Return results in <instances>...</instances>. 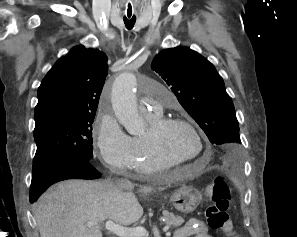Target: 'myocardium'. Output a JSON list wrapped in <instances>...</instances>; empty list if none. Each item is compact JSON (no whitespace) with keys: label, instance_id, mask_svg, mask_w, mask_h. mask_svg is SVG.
Returning <instances> with one entry per match:
<instances>
[{"label":"myocardium","instance_id":"1","mask_svg":"<svg viewBox=\"0 0 297 237\" xmlns=\"http://www.w3.org/2000/svg\"><path fill=\"white\" fill-rule=\"evenodd\" d=\"M169 126H184L186 127L196 138L198 144H199V152L197 155L193 158H187V159H179L176 158L170 154H168L165 149L162 147L159 136L161 132L169 127ZM145 140L153 153V155L162 163L171 165V166H181L188 163L196 162L200 156L203 154L205 149V144L198 133V131L195 129V127L186 119L183 118H177V117H159L155 121H153L149 125V129L147 133L145 134Z\"/></svg>","mask_w":297,"mask_h":237}]
</instances>
